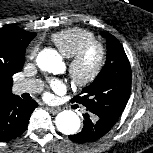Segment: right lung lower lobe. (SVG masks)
Segmentation results:
<instances>
[{"label":"right lung lower lobe","mask_w":153,"mask_h":153,"mask_svg":"<svg viewBox=\"0 0 153 153\" xmlns=\"http://www.w3.org/2000/svg\"><path fill=\"white\" fill-rule=\"evenodd\" d=\"M38 104L24 101L16 95L0 101V141H8L20 136L27 128L31 113Z\"/></svg>","instance_id":"right-lung-lower-lobe-1"}]
</instances>
